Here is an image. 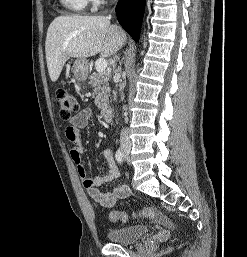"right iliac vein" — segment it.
<instances>
[{
	"mask_svg": "<svg viewBox=\"0 0 247 257\" xmlns=\"http://www.w3.org/2000/svg\"><path fill=\"white\" fill-rule=\"evenodd\" d=\"M123 154H124V157H125L127 160H130L129 151L124 150V151H123Z\"/></svg>",
	"mask_w": 247,
	"mask_h": 257,
	"instance_id": "1",
	"label": "right iliac vein"
}]
</instances>
